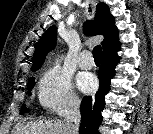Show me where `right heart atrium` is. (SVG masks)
<instances>
[{
	"label": "right heart atrium",
	"mask_w": 153,
	"mask_h": 134,
	"mask_svg": "<svg viewBox=\"0 0 153 134\" xmlns=\"http://www.w3.org/2000/svg\"><path fill=\"white\" fill-rule=\"evenodd\" d=\"M38 100L44 109L58 115L74 111L80 102L70 76L55 64L47 67L39 79Z\"/></svg>",
	"instance_id": "d8ad5b80"
}]
</instances>
